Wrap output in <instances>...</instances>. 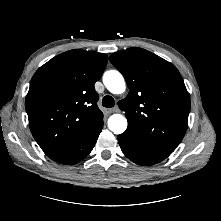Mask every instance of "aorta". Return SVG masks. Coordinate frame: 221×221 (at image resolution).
<instances>
[{
    "label": "aorta",
    "mask_w": 221,
    "mask_h": 221,
    "mask_svg": "<svg viewBox=\"0 0 221 221\" xmlns=\"http://www.w3.org/2000/svg\"><path fill=\"white\" fill-rule=\"evenodd\" d=\"M103 83L112 94H122L126 89L122 74L116 70L106 71ZM108 128L114 134H122L127 128V119L121 114H113L108 119Z\"/></svg>",
    "instance_id": "obj_1"
}]
</instances>
